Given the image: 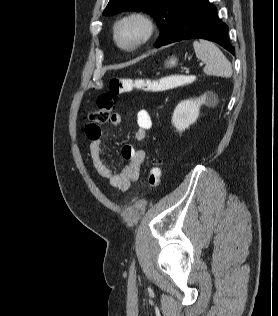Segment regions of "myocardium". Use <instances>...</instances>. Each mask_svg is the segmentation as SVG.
<instances>
[{
	"label": "myocardium",
	"instance_id": "obj_1",
	"mask_svg": "<svg viewBox=\"0 0 278 316\" xmlns=\"http://www.w3.org/2000/svg\"><path fill=\"white\" fill-rule=\"evenodd\" d=\"M131 23L140 27V35L132 43L125 44L119 37V30L123 26ZM155 30V21L147 12L142 10H133L124 14L115 21L112 34L117 47L126 52H133L147 44L152 39Z\"/></svg>",
	"mask_w": 278,
	"mask_h": 316
}]
</instances>
